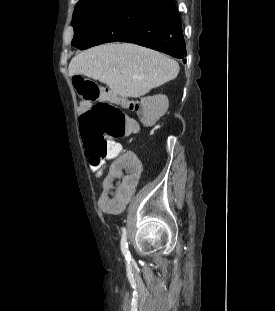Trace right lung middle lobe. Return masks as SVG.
Wrapping results in <instances>:
<instances>
[{
	"mask_svg": "<svg viewBox=\"0 0 275 311\" xmlns=\"http://www.w3.org/2000/svg\"><path fill=\"white\" fill-rule=\"evenodd\" d=\"M162 3L153 0H84L73 14L72 45L87 49L114 42L128 29Z\"/></svg>",
	"mask_w": 275,
	"mask_h": 311,
	"instance_id": "obj_1",
	"label": "right lung middle lobe"
}]
</instances>
